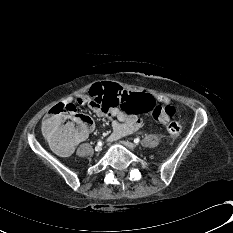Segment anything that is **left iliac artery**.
<instances>
[{"mask_svg":"<svg viewBox=\"0 0 233 233\" xmlns=\"http://www.w3.org/2000/svg\"><path fill=\"white\" fill-rule=\"evenodd\" d=\"M140 142V139L139 138H135L134 139V143L138 144Z\"/></svg>","mask_w":233,"mask_h":233,"instance_id":"obj_1","label":"left iliac artery"}]
</instances>
